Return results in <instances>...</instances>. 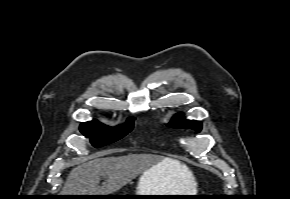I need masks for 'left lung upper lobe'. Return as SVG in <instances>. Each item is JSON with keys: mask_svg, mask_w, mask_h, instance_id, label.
<instances>
[{"mask_svg": "<svg viewBox=\"0 0 290 199\" xmlns=\"http://www.w3.org/2000/svg\"><path fill=\"white\" fill-rule=\"evenodd\" d=\"M168 125L179 128H189L196 130L197 132H200L202 129V124L199 121L185 120L182 113L175 115Z\"/></svg>", "mask_w": 290, "mask_h": 199, "instance_id": "left-lung-upper-lobe-1", "label": "left lung upper lobe"}]
</instances>
